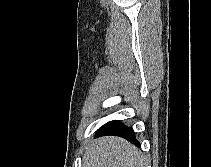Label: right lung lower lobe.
<instances>
[{"label": "right lung lower lobe", "instance_id": "98d812e1", "mask_svg": "<svg viewBox=\"0 0 211 167\" xmlns=\"http://www.w3.org/2000/svg\"><path fill=\"white\" fill-rule=\"evenodd\" d=\"M105 135L119 136L139 146L133 129L119 121H110L98 129L96 137Z\"/></svg>", "mask_w": 211, "mask_h": 167}]
</instances>
